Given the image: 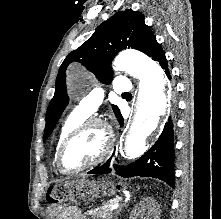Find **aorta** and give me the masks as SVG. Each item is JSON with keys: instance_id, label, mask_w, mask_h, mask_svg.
I'll return each instance as SVG.
<instances>
[{"instance_id": "1", "label": "aorta", "mask_w": 221, "mask_h": 219, "mask_svg": "<svg viewBox=\"0 0 221 219\" xmlns=\"http://www.w3.org/2000/svg\"><path fill=\"white\" fill-rule=\"evenodd\" d=\"M114 66L140 80L136 110L123 149L127 158H134L142 153L146 137L166 114L168 86L160 65L139 51H122L116 57ZM80 75L79 69L70 68L67 72L69 84L76 85Z\"/></svg>"}]
</instances>
